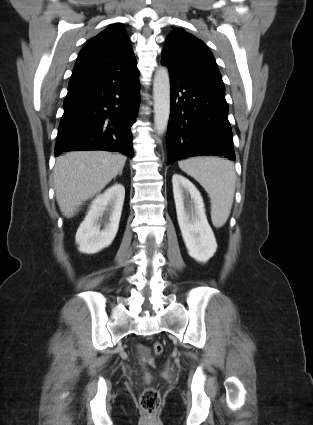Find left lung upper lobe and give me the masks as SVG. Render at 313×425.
Listing matches in <instances>:
<instances>
[{
    "instance_id": "1",
    "label": "left lung upper lobe",
    "mask_w": 313,
    "mask_h": 425,
    "mask_svg": "<svg viewBox=\"0 0 313 425\" xmlns=\"http://www.w3.org/2000/svg\"><path fill=\"white\" fill-rule=\"evenodd\" d=\"M161 61L191 79L223 85L211 51L203 41L182 29L176 28L168 35Z\"/></svg>"
}]
</instances>
